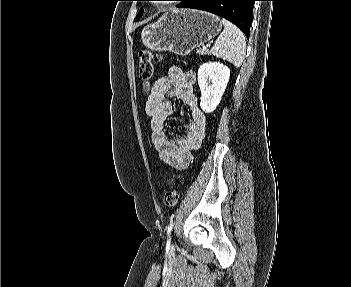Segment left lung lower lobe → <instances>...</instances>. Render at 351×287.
I'll return each mask as SVG.
<instances>
[{"mask_svg":"<svg viewBox=\"0 0 351 287\" xmlns=\"http://www.w3.org/2000/svg\"><path fill=\"white\" fill-rule=\"evenodd\" d=\"M257 0H181L179 8H193L221 16L238 26L249 38Z\"/></svg>","mask_w":351,"mask_h":287,"instance_id":"1","label":"left lung lower lobe"}]
</instances>
